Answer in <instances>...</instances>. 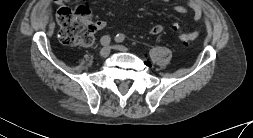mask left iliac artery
Returning <instances> with one entry per match:
<instances>
[{
	"mask_svg": "<svg viewBox=\"0 0 253 138\" xmlns=\"http://www.w3.org/2000/svg\"><path fill=\"white\" fill-rule=\"evenodd\" d=\"M116 42H123L125 40V36L123 34H118L115 37Z\"/></svg>",
	"mask_w": 253,
	"mask_h": 138,
	"instance_id": "obj_1",
	"label": "left iliac artery"
}]
</instances>
